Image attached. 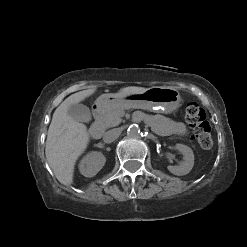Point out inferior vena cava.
I'll return each instance as SVG.
<instances>
[{"mask_svg": "<svg viewBox=\"0 0 247 247\" xmlns=\"http://www.w3.org/2000/svg\"><path fill=\"white\" fill-rule=\"evenodd\" d=\"M121 132L122 130L120 128L111 129L104 134L103 141L105 143H111L120 136Z\"/></svg>", "mask_w": 247, "mask_h": 247, "instance_id": "602c4592", "label": "inferior vena cava"}]
</instances>
